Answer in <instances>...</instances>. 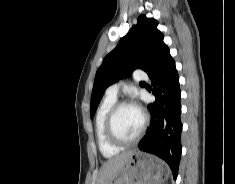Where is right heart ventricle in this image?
Segmentation results:
<instances>
[{
  "label": "right heart ventricle",
  "mask_w": 235,
  "mask_h": 184,
  "mask_svg": "<svg viewBox=\"0 0 235 184\" xmlns=\"http://www.w3.org/2000/svg\"><path fill=\"white\" fill-rule=\"evenodd\" d=\"M117 99L105 96L97 108L94 121V134L97 144L105 157L117 155L121 147L114 145L107 137L105 122L109 110L116 104Z\"/></svg>",
  "instance_id": "right-heart-ventricle-1"
}]
</instances>
